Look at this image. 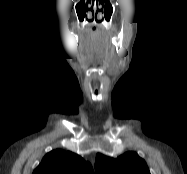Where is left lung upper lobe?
Listing matches in <instances>:
<instances>
[{"instance_id":"obj_1","label":"left lung upper lobe","mask_w":187,"mask_h":174,"mask_svg":"<svg viewBox=\"0 0 187 174\" xmlns=\"http://www.w3.org/2000/svg\"><path fill=\"white\" fill-rule=\"evenodd\" d=\"M96 174H150L145 161L135 152H127L116 159L97 154Z\"/></svg>"}]
</instances>
